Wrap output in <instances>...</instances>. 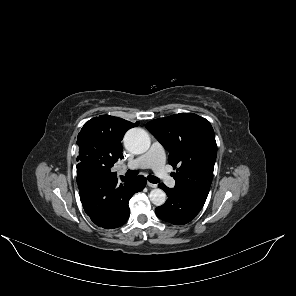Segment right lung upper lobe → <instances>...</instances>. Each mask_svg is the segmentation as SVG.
<instances>
[{
  "instance_id": "1",
  "label": "right lung upper lobe",
  "mask_w": 296,
  "mask_h": 296,
  "mask_svg": "<svg viewBox=\"0 0 296 296\" xmlns=\"http://www.w3.org/2000/svg\"><path fill=\"white\" fill-rule=\"evenodd\" d=\"M138 125L139 122L131 123L109 115L92 118L84 124L78 134L79 151L93 148L101 152L106 161V177H115L116 173L111 172L110 168L118 159L123 158L120 142L127 130Z\"/></svg>"
}]
</instances>
